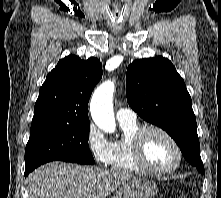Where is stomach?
I'll use <instances>...</instances> for the list:
<instances>
[{
	"label": "stomach",
	"instance_id": "obj_1",
	"mask_svg": "<svg viewBox=\"0 0 221 198\" xmlns=\"http://www.w3.org/2000/svg\"><path fill=\"white\" fill-rule=\"evenodd\" d=\"M157 190L153 181L133 179L123 184L111 198H152Z\"/></svg>",
	"mask_w": 221,
	"mask_h": 198
}]
</instances>
